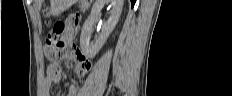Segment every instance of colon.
<instances>
[{"label": "colon", "mask_w": 232, "mask_h": 96, "mask_svg": "<svg viewBox=\"0 0 232 96\" xmlns=\"http://www.w3.org/2000/svg\"><path fill=\"white\" fill-rule=\"evenodd\" d=\"M67 22L68 20L65 22H56L46 38L45 55L53 62H57L61 59L63 49L65 48L66 41L64 34L66 31L65 25H67ZM52 70L56 72L59 70V68L56 64H53Z\"/></svg>", "instance_id": "5ec220e1"}]
</instances>
